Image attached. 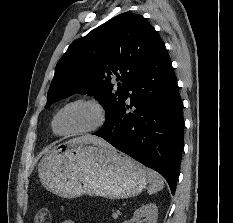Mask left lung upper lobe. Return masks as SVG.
I'll list each match as a JSON object with an SVG mask.
<instances>
[{"instance_id":"1","label":"left lung upper lobe","mask_w":233,"mask_h":223,"mask_svg":"<svg viewBox=\"0 0 233 223\" xmlns=\"http://www.w3.org/2000/svg\"><path fill=\"white\" fill-rule=\"evenodd\" d=\"M159 35L139 14L125 12L73 42L58 61L46 108L74 93L98 98L111 122L125 105ZM120 80L112 92L111 79Z\"/></svg>"}]
</instances>
